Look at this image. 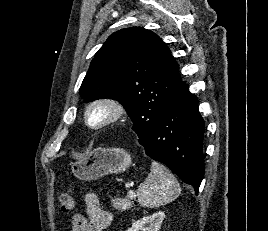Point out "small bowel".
<instances>
[{
  "label": "small bowel",
  "instance_id": "1",
  "mask_svg": "<svg viewBox=\"0 0 268 231\" xmlns=\"http://www.w3.org/2000/svg\"><path fill=\"white\" fill-rule=\"evenodd\" d=\"M85 215L76 214L71 219V231H104L112 221V213L100 202L92 192L84 196Z\"/></svg>",
  "mask_w": 268,
  "mask_h": 231
}]
</instances>
